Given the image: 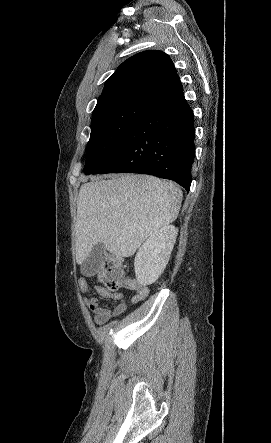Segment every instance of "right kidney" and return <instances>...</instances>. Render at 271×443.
Masks as SVG:
<instances>
[{
  "instance_id": "obj_1",
  "label": "right kidney",
  "mask_w": 271,
  "mask_h": 443,
  "mask_svg": "<svg viewBox=\"0 0 271 443\" xmlns=\"http://www.w3.org/2000/svg\"><path fill=\"white\" fill-rule=\"evenodd\" d=\"M175 225H163L139 247L134 259L136 279L141 285H150L166 267L177 237Z\"/></svg>"
}]
</instances>
